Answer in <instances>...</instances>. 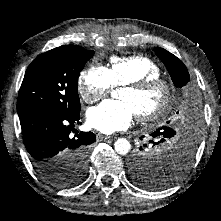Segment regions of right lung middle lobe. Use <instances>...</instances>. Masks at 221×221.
Masks as SVG:
<instances>
[{"label": "right lung middle lobe", "instance_id": "dd1d6c3e", "mask_svg": "<svg viewBox=\"0 0 221 221\" xmlns=\"http://www.w3.org/2000/svg\"><path fill=\"white\" fill-rule=\"evenodd\" d=\"M94 51L75 45H64L36 57L27 68L18 94L17 111L51 108L62 112L80 111L78 77ZM89 147L64 155L40 176L60 188L71 187L85 176Z\"/></svg>", "mask_w": 221, "mask_h": 221}]
</instances>
